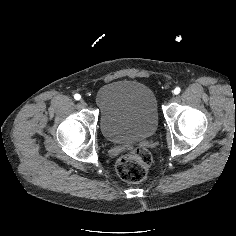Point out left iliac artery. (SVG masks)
Returning a JSON list of instances; mask_svg holds the SVG:
<instances>
[{
    "label": "left iliac artery",
    "instance_id": "left-iliac-artery-1",
    "mask_svg": "<svg viewBox=\"0 0 236 236\" xmlns=\"http://www.w3.org/2000/svg\"><path fill=\"white\" fill-rule=\"evenodd\" d=\"M180 91H181V89H180L179 87H176V88L174 89L173 93L177 95V94L180 93Z\"/></svg>",
    "mask_w": 236,
    "mask_h": 236
}]
</instances>
